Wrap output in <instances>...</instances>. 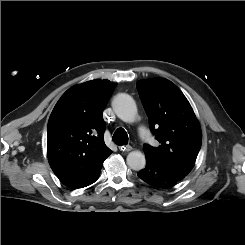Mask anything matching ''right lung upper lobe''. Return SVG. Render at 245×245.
Wrapping results in <instances>:
<instances>
[{
    "label": "right lung upper lobe",
    "mask_w": 245,
    "mask_h": 245,
    "mask_svg": "<svg viewBox=\"0 0 245 245\" xmlns=\"http://www.w3.org/2000/svg\"><path fill=\"white\" fill-rule=\"evenodd\" d=\"M117 84L92 80L67 90L55 105L47 128L51 169L70 188L88 182L112 153L104 142L103 109Z\"/></svg>",
    "instance_id": "right-lung-upper-lobe-1"
}]
</instances>
